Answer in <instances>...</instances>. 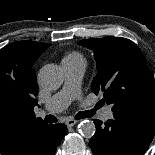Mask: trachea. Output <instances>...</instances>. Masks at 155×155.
I'll return each mask as SVG.
<instances>
[{
  "label": "trachea",
  "instance_id": "3493384b",
  "mask_svg": "<svg viewBox=\"0 0 155 155\" xmlns=\"http://www.w3.org/2000/svg\"><path fill=\"white\" fill-rule=\"evenodd\" d=\"M99 106H96L94 109L89 110V111H83L77 114V118H90L95 114L96 109H98ZM46 122L49 123H56L57 122V118L53 115H47L44 119Z\"/></svg>",
  "mask_w": 155,
  "mask_h": 155
}]
</instances>
